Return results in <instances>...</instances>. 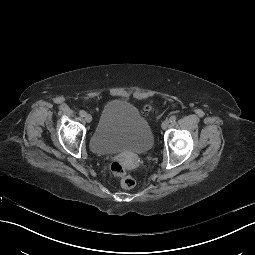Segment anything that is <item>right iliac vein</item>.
Instances as JSON below:
<instances>
[{"mask_svg":"<svg viewBox=\"0 0 255 255\" xmlns=\"http://www.w3.org/2000/svg\"><path fill=\"white\" fill-rule=\"evenodd\" d=\"M86 122L90 123L92 121V116L90 114L85 115Z\"/></svg>","mask_w":255,"mask_h":255,"instance_id":"63e3f726","label":"right iliac vein"}]
</instances>
